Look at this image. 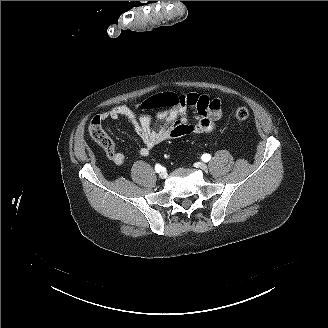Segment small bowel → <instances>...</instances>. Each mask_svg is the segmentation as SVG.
<instances>
[{"label": "small bowel", "mask_w": 328, "mask_h": 328, "mask_svg": "<svg viewBox=\"0 0 328 328\" xmlns=\"http://www.w3.org/2000/svg\"><path fill=\"white\" fill-rule=\"evenodd\" d=\"M223 115L222 103L218 98L190 93L180 97V103L170 111L158 115L156 124L146 113H135L126 105H118L99 115L101 120H116L124 117L130 121L142 142L139 154L146 157L151 150L166 141L190 134H207L212 132ZM108 157L118 165L125 162L122 152H106Z\"/></svg>", "instance_id": "obj_1"}]
</instances>
